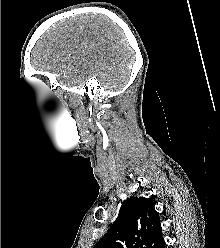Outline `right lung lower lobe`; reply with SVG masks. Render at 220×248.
I'll list each match as a JSON object with an SVG mask.
<instances>
[{"label": "right lung lower lobe", "mask_w": 220, "mask_h": 248, "mask_svg": "<svg viewBox=\"0 0 220 248\" xmlns=\"http://www.w3.org/2000/svg\"><path fill=\"white\" fill-rule=\"evenodd\" d=\"M155 248H165V241L162 239V241Z\"/></svg>", "instance_id": "right-lung-lower-lobe-1"}]
</instances>
